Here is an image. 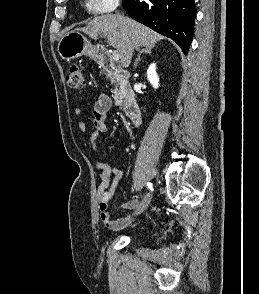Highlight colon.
<instances>
[{
	"label": "colon",
	"mask_w": 259,
	"mask_h": 294,
	"mask_svg": "<svg viewBox=\"0 0 259 294\" xmlns=\"http://www.w3.org/2000/svg\"><path fill=\"white\" fill-rule=\"evenodd\" d=\"M66 84L71 90H80L86 84L84 73L80 66L71 65L66 75Z\"/></svg>",
	"instance_id": "colon-1"
}]
</instances>
